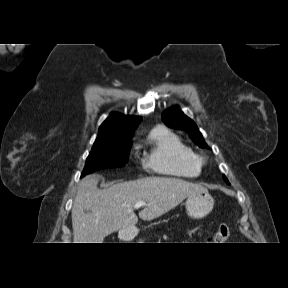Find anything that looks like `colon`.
Instances as JSON below:
<instances>
[{"label":"colon","mask_w":288,"mask_h":288,"mask_svg":"<svg viewBox=\"0 0 288 288\" xmlns=\"http://www.w3.org/2000/svg\"><path fill=\"white\" fill-rule=\"evenodd\" d=\"M229 235V226L226 224H221L214 235L210 238V241L213 243H222L229 237Z\"/></svg>","instance_id":"obj_1"}]
</instances>
